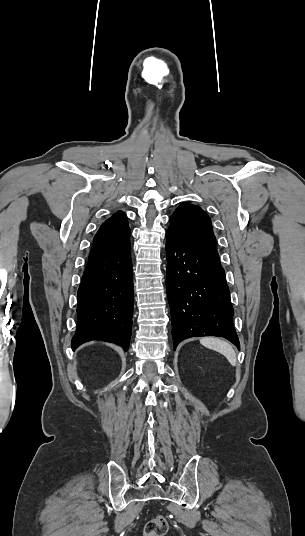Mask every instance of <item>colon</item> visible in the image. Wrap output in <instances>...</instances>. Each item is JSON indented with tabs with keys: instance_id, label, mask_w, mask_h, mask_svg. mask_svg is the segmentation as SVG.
<instances>
[{
	"instance_id": "5ec220e1",
	"label": "colon",
	"mask_w": 305,
	"mask_h": 536,
	"mask_svg": "<svg viewBox=\"0 0 305 536\" xmlns=\"http://www.w3.org/2000/svg\"><path fill=\"white\" fill-rule=\"evenodd\" d=\"M168 522L165 517L157 516L151 519L144 527L143 536H165Z\"/></svg>"
}]
</instances>
